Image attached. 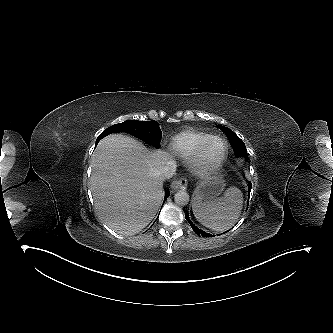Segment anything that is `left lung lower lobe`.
Returning a JSON list of instances; mask_svg holds the SVG:
<instances>
[{"mask_svg": "<svg viewBox=\"0 0 333 333\" xmlns=\"http://www.w3.org/2000/svg\"><path fill=\"white\" fill-rule=\"evenodd\" d=\"M251 191V183H249V192ZM185 218L188 221V223L191 225L193 231L198 235V236H202V237H212L211 234H208L200 229H198L189 219V216L187 213H185Z\"/></svg>", "mask_w": 333, "mask_h": 333, "instance_id": "left-lung-lower-lobe-1", "label": "left lung lower lobe"}]
</instances>
